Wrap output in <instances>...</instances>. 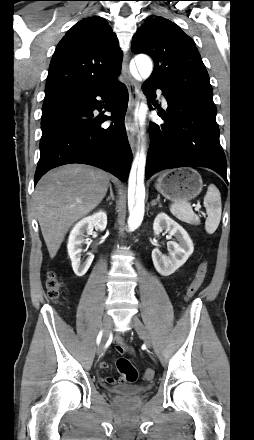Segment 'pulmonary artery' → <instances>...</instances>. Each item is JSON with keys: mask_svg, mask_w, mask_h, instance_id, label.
<instances>
[{"mask_svg": "<svg viewBox=\"0 0 254 440\" xmlns=\"http://www.w3.org/2000/svg\"><path fill=\"white\" fill-rule=\"evenodd\" d=\"M158 96L160 97L163 106H164V107H167V106H168V103H167L165 97L161 94L160 91H158Z\"/></svg>", "mask_w": 254, "mask_h": 440, "instance_id": "1", "label": "pulmonary artery"}]
</instances>
